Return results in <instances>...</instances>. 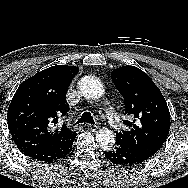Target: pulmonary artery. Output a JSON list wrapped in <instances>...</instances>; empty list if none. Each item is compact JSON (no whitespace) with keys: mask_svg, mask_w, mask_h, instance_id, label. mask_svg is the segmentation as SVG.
Wrapping results in <instances>:
<instances>
[{"mask_svg":"<svg viewBox=\"0 0 188 188\" xmlns=\"http://www.w3.org/2000/svg\"><path fill=\"white\" fill-rule=\"evenodd\" d=\"M108 104V102H107ZM106 116L110 121V124L117 130L122 129L124 126L121 122L120 117L112 110V108H108L106 110Z\"/></svg>","mask_w":188,"mask_h":188,"instance_id":"obj_1","label":"pulmonary artery"}]
</instances>
